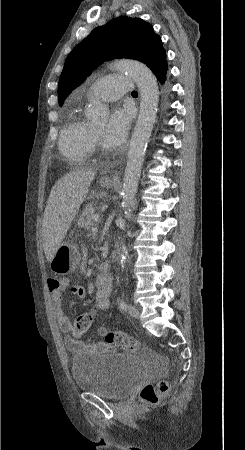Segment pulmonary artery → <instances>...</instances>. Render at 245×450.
I'll list each match as a JSON object with an SVG mask.
<instances>
[{
	"instance_id": "pulmonary-artery-1",
	"label": "pulmonary artery",
	"mask_w": 245,
	"mask_h": 450,
	"mask_svg": "<svg viewBox=\"0 0 245 450\" xmlns=\"http://www.w3.org/2000/svg\"><path fill=\"white\" fill-rule=\"evenodd\" d=\"M132 79L126 75L106 76L95 81L88 89L89 98L113 101L124 94L131 93Z\"/></svg>"
}]
</instances>
